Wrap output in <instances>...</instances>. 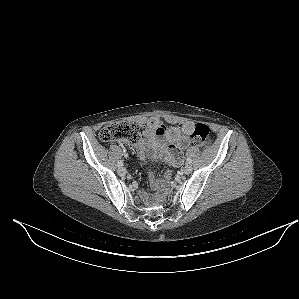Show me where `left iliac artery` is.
<instances>
[{"label":"left iliac artery","instance_id":"left-iliac-artery-1","mask_svg":"<svg viewBox=\"0 0 299 299\" xmlns=\"http://www.w3.org/2000/svg\"><path fill=\"white\" fill-rule=\"evenodd\" d=\"M186 161H187V163H189V164L192 163V160H191L190 158H187Z\"/></svg>","mask_w":299,"mask_h":299}]
</instances>
